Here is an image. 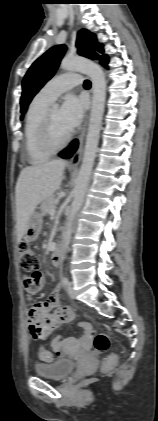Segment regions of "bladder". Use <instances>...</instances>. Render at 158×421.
<instances>
[{
    "mask_svg": "<svg viewBox=\"0 0 158 421\" xmlns=\"http://www.w3.org/2000/svg\"><path fill=\"white\" fill-rule=\"evenodd\" d=\"M75 368V362L69 358L58 359L51 363L36 364L34 371L37 376L61 380L70 375Z\"/></svg>",
    "mask_w": 158,
    "mask_h": 421,
    "instance_id": "31cf9c89",
    "label": "bladder"
}]
</instances>
